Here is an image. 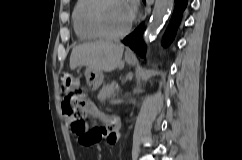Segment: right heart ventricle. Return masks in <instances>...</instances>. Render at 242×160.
<instances>
[{
  "label": "right heart ventricle",
  "instance_id": "obj_1",
  "mask_svg": "<svg viewBox=\"0 0 242 160\" xmlns=\"http://www.w3.org/2000/svg\"><path fill=\"white\" fill-rule=\"evenodd\" d=\"M95 0H77L73 12L72 23L77 38L81 41L99 39L100 36L92 29L89 23V10Z\"/></svg>",
  "mask_w": 242,
  "mask_h": 160
}]
</instances>
